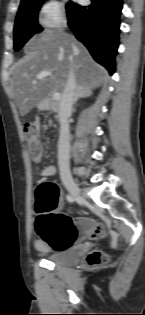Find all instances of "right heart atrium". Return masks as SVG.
<instances>
[{"mask_svg":"<svg viewBox=\"0 0 145 315\" xmlns=\"http://www.w3.org/2000/svg\"><path fill=\"white\" fill-rule=\"evenodd\" d=\"M37 23L48 30L62 29L67 22L60 0H44L37 11Z\"/></svg>","mask_w":145,"mask_h":315,"instance_id":"d8ad5b80","label":"right heart atrium"}]
</instances>
